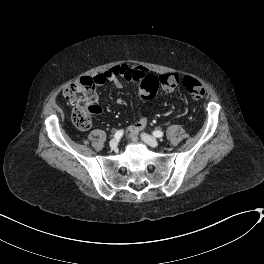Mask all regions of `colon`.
<instances>
[{
	"mask_svg": "<svg viewBox=\"0 0 264 264\" xmlns=\"http://www.w3.org/2000/svg\"><path fill=\"white\" fill-rule=\"evenodd\" d=\"M124 67H116L117 74L123 73ZM179 76L175 73L160 75L159 77L150 75L143 79L139 85V93L144 99L153 98L159 88L167 92L174 91L179 85ZM185 89L194 99H201L206 91L199 80L192 76L183 78ZM63 96L73 105L72 121L80 130H87L91 127V118L98 111L95 82L91 78H81L65 86Z\"/></svg>",
	"mask_w": 264,
	"mask_h": 264,
	"instance_id": "colon-1",
	"label": "colon"
}]
</instances>
